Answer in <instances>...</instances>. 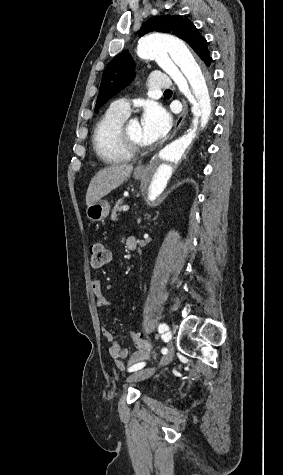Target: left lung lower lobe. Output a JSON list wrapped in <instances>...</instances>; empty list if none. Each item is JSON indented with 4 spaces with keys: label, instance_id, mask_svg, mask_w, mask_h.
Masks as SVG:
<instances>
[{
    "label": "left lung lower lobe",
    "instance_id": "1",
    "mask_svg": "<svg viewBox=\"0 0 283 475\" xmlns=\"http://www.w3.org/2000/svg\"><path fill=\"white\" fill-rule=\"evenodd\" d=\"M211 61H212V58L210 57L209 52L207 51V52H206L205 59H204V62H205V64H206L207 66H209L210 63H211Z\"/></svg>",
    "mask_w": 283,
    "mask_h": 475
}]
</instances>
